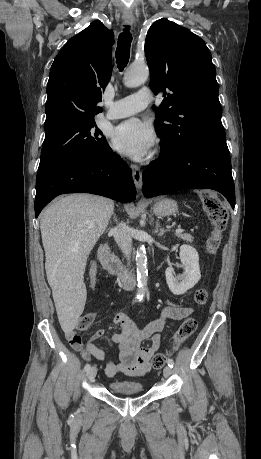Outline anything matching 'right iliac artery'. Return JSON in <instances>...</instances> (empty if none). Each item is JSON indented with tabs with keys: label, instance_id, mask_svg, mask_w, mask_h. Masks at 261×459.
I'll use <instances>...</instances> for the list:
<instances>
[{
	"label": "right iliac artery",
	"instance_id": "82829eb1",
	"mask_svg": "<svg viewBox=\"0 0 261 459\" xmlns=\"http://www.w3.org/2000/svg\"><path fill=\"white\" fill-rule=\"evenodd\" d=\"M90 367H91L90 364H86L85 367H84V370L88 371L90 369Z\"/></svg>",
	"mask_w": 261,
	"mask_h": 459
}]
</instances>
